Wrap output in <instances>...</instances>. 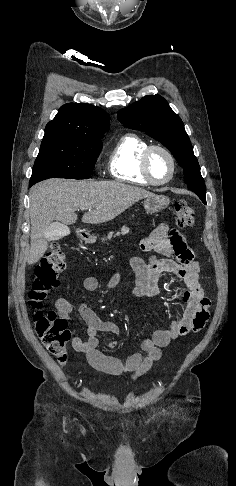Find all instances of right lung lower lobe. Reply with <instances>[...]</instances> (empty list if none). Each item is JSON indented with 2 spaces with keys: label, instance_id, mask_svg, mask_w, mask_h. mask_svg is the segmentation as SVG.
<instances>
[{
  "label": "right lung lower lobe",
  "instance_id": "right-lung-lower-lobe-1",
  "mask_svg": "<svg viewBox=\"0 0 236 486\" xmlns=\"http://www.w3.org/2000/svg\"><path fill=\"white\" fill-rule=\"evenodd\" d=\"M32 185H33V184H30V183H29V186H32Z\"/></svg>",
  "mask_w": 236,
  "mask_h": 486
}]
</instances>
